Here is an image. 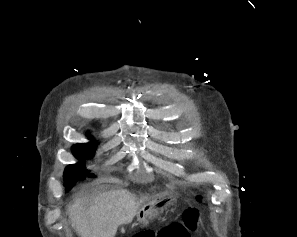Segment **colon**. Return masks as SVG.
I'll return each mask as SVG.
<instances>
[{"label":"colon","instance_id":"1","mask_svg":"<svg viewBox=\"0 0 297 237\" xmlns=\"http://www.w3.org/2000/svg\"><path fill=\"white\" fill-rule=\"evenodd\" d=\"M200 200V197L197 198ZM199 214L195 207L185 210L182 221L173 222L157 233L142 232L133 237H190V232L195 231L198 226Z\"/></svg>","mask_w":297,"mask_h":237}]
</instances>
